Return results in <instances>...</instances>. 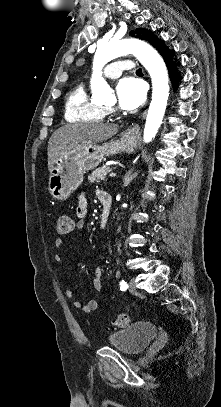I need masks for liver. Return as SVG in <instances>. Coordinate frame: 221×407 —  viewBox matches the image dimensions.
Instances as JSON below:
<instances>
[{"label":"liver","instance_id":"1","mask_svg":"<svg viewBox=\"0 0 221 407\" xmlns=\"http://www.w3.org/2000/svg\"><path fill=\"white\" fill-rule=\"evenodd\" d=\"M118 130L119 126L116 124L98 122L74 123L60 127L54 131L48 142V170H52L62 153L106 141L117 134Z\"/></svg>","mask_w":221,"mask_h":407}]
</instances>
